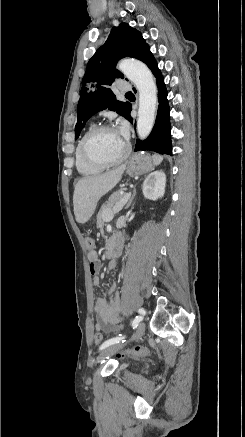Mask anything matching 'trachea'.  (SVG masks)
Segmentation results:
<instances>
[{"label": "trachea", "mask_w": 245, "mask_h": 437, "mask_svg": "<svg viewBox=\"0 0 245 437\" xmlns=\"http://www.w3.org/2000/svg\"><path fill=\"white\" fill-rule=\"evenodd\" d=\"M126 95H132V92H127Z\"/></svg>", "instance_id": "1"}]
</instances>
